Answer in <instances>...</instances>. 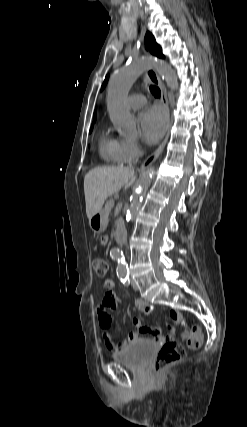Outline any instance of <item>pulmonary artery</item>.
Segmentation results:
<instances>
[{
    "label": "pulmonary artery",
    "instance_id": "1",
    "mask_svg": "<svg viewBox=\"0 0 247 427\" xmlns=\"http://www.w3.org/2000/svg\"><path fill=\"white\" fill-rule=\"evenodd\" d=\"M146 103V98L142 94H132L127 99V104L132 109H137Z\"/></svg>",
    "mask_w": 247,
    "mask_h": 427
}]
</instances>
